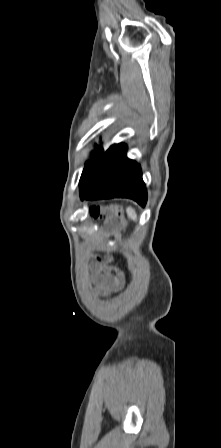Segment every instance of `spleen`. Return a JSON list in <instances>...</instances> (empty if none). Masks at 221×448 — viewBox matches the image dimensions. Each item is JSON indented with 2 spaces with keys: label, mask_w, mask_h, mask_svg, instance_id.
I'll return each instance as SVG.
<instances>
[{
  "label": "spleen",
  "mask_w": 221,
  "mask_h": 448,
  "mask_svg": "<svg viewBox=\"0 0 221 448\" xmlns=\"http://www.w3.org/2000/svg\"><path fill=\"white\" fill-rule=\"evenodd\" d=\"M127 214H128V216H129L132 220L136 221V219H137V215H136V212H135V210H134L133 208L129 207V208L127 209Z\"/></svg>",
  "instance_id": "1"
}]
</instances>
